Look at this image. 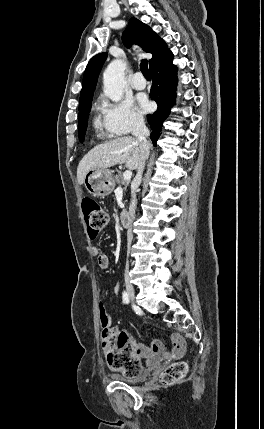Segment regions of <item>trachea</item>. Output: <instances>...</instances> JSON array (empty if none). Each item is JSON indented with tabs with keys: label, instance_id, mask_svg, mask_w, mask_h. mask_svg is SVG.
I'll return each mask as SVG.
<instances>
[{
	"label": "trachea",
	"instance_id": "3493384b",
	"mask_svg": "<svg viewBox=\"0 0 264 429\" xmlns=\"http://www.w3.org/2000/svg\"><path fill=\"white\" fill-rule=\"evenodd\" d=\"M140 70L145 78H150L149 72H148V62L147 60H142L140 64Z\"/></svg>",
	"mask_w": 264,
	"mask_h": 429
}]
</instances>
